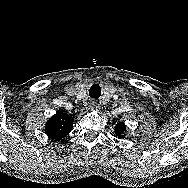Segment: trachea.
Returning a JSON list of instances; mask_svg holds the SVG:
<instances>
[{"label":"trachea","mask_w":188,"mask_h":188,"mask_svg":"<svg viewBox=\"0 0 188 188\" xmlns=\"http://www.w3.org/2000/svg\"><path fill=\"white\" fill-rule=\"evenodd\" d=\"M102 88L98 84H93L89 90V96L91 98L98 99L101 96Z\"/></svg>","instance_id":"3493384b"}]
</instances>
